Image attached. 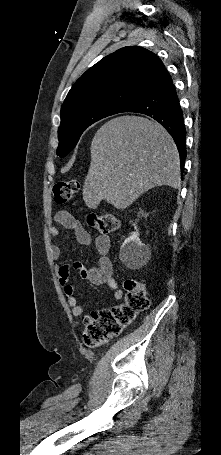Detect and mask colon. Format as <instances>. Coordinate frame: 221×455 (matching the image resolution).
I'll return each instance as SVG.
<instances>
[{"mask_svg":"<svg viewBox=\"0 0 221 455\" xmlns=\"http://www.w3.org/2000/svg\"><path fill=\"white\" fill-rule=\"evenodd\" d=\"M79 189L80 183L74 179L56 183L53 187L55 203L58 205L68 203ZM87 223L101 234L114 233L120 227L119 219L111 213L91 214L87 218ZM124 286L126 296L122 304L94 312L86 319L87 326L83 337L87 346L98 347L118 336L140 313L148 309L150 301L143 282L127 279Z\"/></svg>","mask_w":221,"mask_h":455,"instance_id":"colon-1","label":"colon"}]
</instances>
